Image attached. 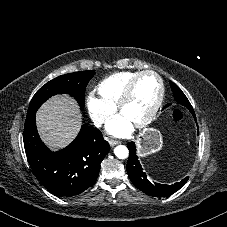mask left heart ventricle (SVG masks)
Instances as JSON below:
<instances>
[{
    "instance_id": "b2bd125f",
    "label": "left heart ventricle",
    "mask_w": 227,
    "mask_h": 227,
    "mask_svg": "<svg viewBox=\"0 0 227 227\" xmlns=\"http://www.w3.org/2000/svg\"><path fill=\"white\" fill-rule=\"evenodd\" d=\"M158 81L152 75L141 77L133 97L122 110V116L131 124L143 119L153 106L158 94Z\"/></svg>"
}]
</instances>
